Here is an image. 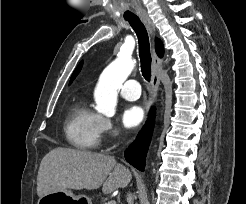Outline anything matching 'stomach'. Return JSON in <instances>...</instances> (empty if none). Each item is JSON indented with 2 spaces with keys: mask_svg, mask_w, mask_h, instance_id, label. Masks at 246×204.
<instances>
[{
  "mask_svg": "<svg viewBox=\"0 0 246 204\" xmlns=\"http://www.w3.org/2000/svg\"><path fill=\"white\" fill-rule=\"evenodd\" d=\"M37 204H92L86 195H76L70 190L52 192L39 198Z\"/></svg>",
  "mask_w": 246,
  "mask_h": 204,
  "instance_id": "0dacf381",
  "label": "stomach"
}]
</instances>
